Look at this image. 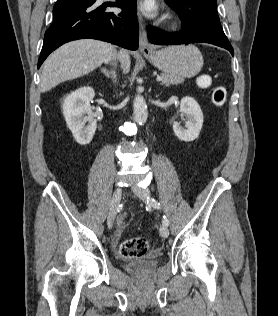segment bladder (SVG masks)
I'll return each mask as SVG.
<instances>
[{
    "instance_id": "31cf9c89",
    "label": "bladder",
    "mask_w": 278,
    "mask_h": 316,
    "mask_svg": "<svg viewBox=\"0 0 278 316\" xmlns=\"http://www.w3.org/2000/svg\"><path fill=\"white\" fill-rule=\"evenodd\" d=\"M157 266L156 261H148L146 262L143 267L148 271V272H153ZM128 268H133V265H129Z\"/></svg>"
}]
</instances>
